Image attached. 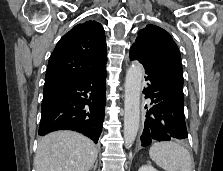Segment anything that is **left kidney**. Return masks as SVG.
<instances>
[{
	"label": "left kidney",
	"instance_id": "obj_1",
	"mask_svg": "<svg viewBox=\"0 0 223 171\" xmlns=\"http://www.w3.org/2000/svg\"><path fill=\"white\" fill-rule=\"evenodd\" d=\"M138 171H158V170L153 168L151 165H144L140 167Z\"/></svg>",
	"mask_w": 223,
	"mask_h": 171
}]
</instances>
